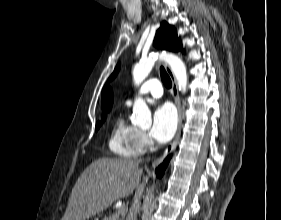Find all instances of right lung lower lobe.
<instances>
[{
    "instance_id": "98d812e1",
    "label": "right lung lower lobe",
    "mask_w": 281,
    "mask_h": 220,
    "mask_svg": "<svg viewBox=\"0 0 281 220\" xmlns=\"http://www.w3.org/2000/svg\"><path fill=\"white\" fill-rule=\"evenodd\" d=\"M169 160H170V156H168L164 160V162L156 169V175L158 178H161L163 176Z\"/></svg>"
}]
</instances>
